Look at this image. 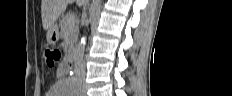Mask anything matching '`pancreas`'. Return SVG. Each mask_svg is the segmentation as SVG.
<instances>
[{"instance_id":"obj_1","label":"pancreas","mask_w":232,"mask_h":96,"mask_svg":"<svg viewBox=\"0 0 232 96\" xmlns=\"http://www.w3.org/2000/svg\"><path fill=\"white\" fill-rule=\"evenodd\" d=\"M78 33L79 29L75 18L70 13L63 15L60 21V35L62 38L68 37L69 47L77 41Z\"/></svg>"}]
</instances>
